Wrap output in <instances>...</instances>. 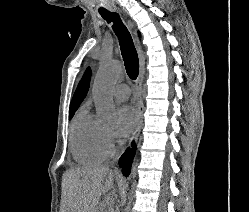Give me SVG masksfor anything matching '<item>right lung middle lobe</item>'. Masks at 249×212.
<instances>
[{
	"mask_svg": "<svg viewBox=\"0 0 249 212\" xmlns=\"http://www.w3.org/2000/svg\"><path fill=\"white\" fill-rule=\"evenodd\" d=\"M75 111H69V118L71 119L74 115Z\"/></svg>",
	"mask_w": 249,
	"mask_h": 212,
	"instance_id": "dd1d6c3e",
	"label": "right lung middle lobe"
}]
</instances>
